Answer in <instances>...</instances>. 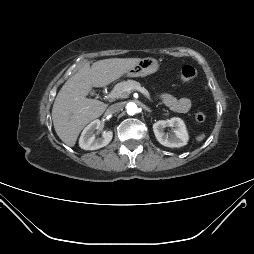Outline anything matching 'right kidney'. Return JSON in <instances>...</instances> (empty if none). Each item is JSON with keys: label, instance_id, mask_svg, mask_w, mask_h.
<instances>
[{"label": "right kidney", "instance_id": "ca27d5eb", "mask_svg": "<svg viewBox=\"0 0 254 254\" xmlns=\"http://www.w3.org/2000/svg\"><path fill=\"white\" fill-rule=\"evenodd\" d=\"M100 127V120L92 121L83 130L80 139L79 146L84 150H96L102 148L110 143L113 137L112 131H105L101 138H96L95 130Z\"/></svg>", "mask_w": 254, "mask_h": 254}]
</instances>
